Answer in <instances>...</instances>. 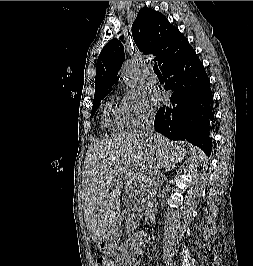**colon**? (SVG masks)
Masks as SVG:
<instances>
[{
    "label": "colon",
    "instance_id": "5ec220e1",
    "mask_svg": "<svg viewBox=\"0 0 253 266\" xmlns=\"http://www.w3.org/2000/svg\"><path fill=\"white\" fill-rule=\"evenodd\" d=\"M94 266H111V264L107 258L98 257L95 259Z\"/></svg>",
    "mask_w": 253,
    "mask_h": 266
}]
</instances>
